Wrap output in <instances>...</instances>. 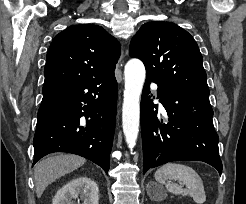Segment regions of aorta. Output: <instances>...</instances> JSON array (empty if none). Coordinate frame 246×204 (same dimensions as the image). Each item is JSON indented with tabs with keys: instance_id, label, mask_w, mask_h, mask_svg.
<instances>
[{
	"instance_id": "aorta-1",
	"label": "aorta",
	"mask_w": 246,
	"mask_h": 204,
	"mask_svg": "<svg viewBox=\"0 0 246 204\" xmlns=\"http://www.w3.org/2000/svg\"><path fill=\"white\" fill-rule=\"evenodd\" d=\"M146 71L139 59H131L124 69L125 90L122 108V125L126 143L132 149L137 141L140 123V96Z\"/></svg>"
}]
</instances>
